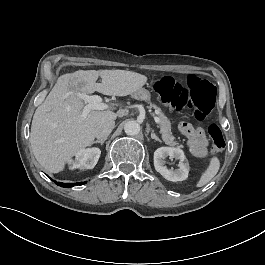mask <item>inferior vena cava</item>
Wrapping results in <instances>:
<instances>
[{
    "mask_svg": "<svg viewBox=\"0 0 265 265\" xmlns=\"http://www.w3.org/2000/svg\"><path fill=\"white\" fill-rule=\"evenodd\" d=\"M115 122L104 120L97 124L95 127V137L98 139H106L114 129Z\"/></svg>",
    "mask_w": 265,
    "mask_h": 265,
    "instance_id": "inferior-vena-cava-1",
    "label": "inferior vena cava"
}]
</instances>
